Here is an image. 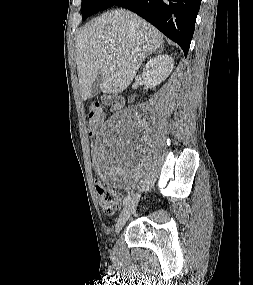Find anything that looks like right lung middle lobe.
Wrapping results in <instances>:
<instances>
[{
    "mask_svg": "<svg viewBox=\"0 0 253 285\" xmlns=\"http://www.w3.org/2000/svg\"><path fill=\"white\" fill-rule=\"evenodd\" d=\"M118 1L119 0H82V19H86L99 10L112 7Z\"/></svg>",
    "mask_w": 253,
    "mask_h": 285,
    "instance_id": "dd1d6c3e",
    "label": "right lung middle lobe"
}]
</instances>
